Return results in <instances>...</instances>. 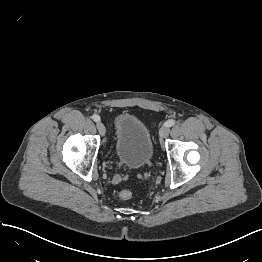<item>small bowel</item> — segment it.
<instances>
[{
    "label": "small bowel",
    "mask_w": 262,
    "mask_h": 262,
    "mask_svg": "<svg viewBox=\"0 0 262 262\" xmlns=\"http://www.w3.org/2000/svg\"><path fill=\"white\" fill-rule=\"evenodd\" d=\"M119 182V179L118 178H114L113 179V183H118Z\"/></svg>",
    "instance_id": "obj_1"
}]
</instances>
